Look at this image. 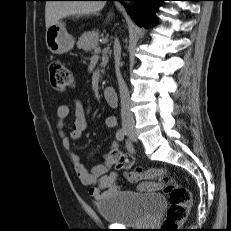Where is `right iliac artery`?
Listing matches in <instances>:
<instances>
[{"label": "right iliac artery", "instance_id": "right-iliac-artery-1", "mask_svg": "<svg viewBox=\"0 0 231 231\" xmlns=\"http://www.w3.org/2000/svg\"><path fill=\"white\" fill-rule=\"evenodd\" d=\"M125 137V131L123 129H119L116 133V138L118 141H123Z\"/></svg>", "mask_w": 231, "mask_h": 231}]
</instances>
